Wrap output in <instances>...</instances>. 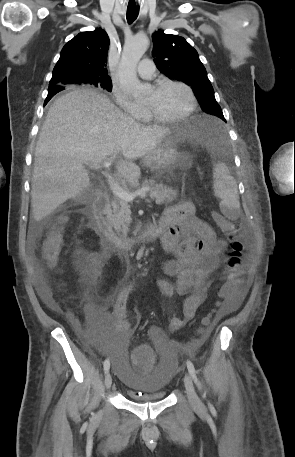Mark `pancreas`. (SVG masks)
<instances>
[{"instance_id":"cf45deb5","label":"pancreas","mask_w":295,"mask_h":457,"mask_svg":"<svg viewBox=\"0 0 295 457\" xmlns=\"http://www.w3.org/2000/svg\"><path fill=\"white\" fill-rule=\"evenodd\" d=\"M141 187H149V196L154 199L157 204L170 203L177 197V190H173L161 183L155 184L154 181H144ZM111 206L112 214L110 215V220L114 229L119 233L126 234L131 222L129 204L126 201L115 197Z\"/></svg>"}]
</instances>
